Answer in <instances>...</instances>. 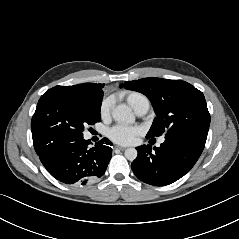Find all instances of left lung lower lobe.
Instances as JSON below:
<instances>
[{
	"label": "left lung lower lobe",
	"mask_w": 239,
	"mask_h": 239,
	"mask_svg": "<svg viewBox=\"0 0 239 239\" xmlns=\"http://www.w3.org/2000/svg\"><path fill=\"white\" fill-rule=\"evenodd\" d=\"M205 143L183 136H165L160 147H137L138 156L131 168L138 179L154 185L165 186L184 176L197 162Z\"/></svg>",
	"instance_id": "left-lung-lower-lobe-1"
}]
</instances>
